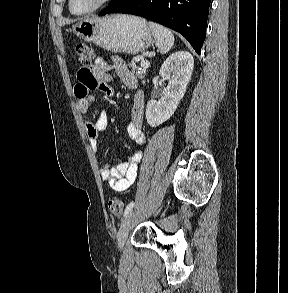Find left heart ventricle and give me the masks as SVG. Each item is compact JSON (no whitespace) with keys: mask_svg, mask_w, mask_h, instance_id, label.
I'll return each instance as SVG.
<instances>
[{"mask_svg":"<svg viewBox=\"0 0 288 293\" xmlns=\"http://www.w3.org/2000/svg\"><path fill=\"white\" fill-rule=\"evenodd\" d=\"M97 0H74L73 9L75 11H83L93 6Z\"/></svg>","mask_w":288,"mask_h":293,"instance_id":"1","label":"left heart ventricle"}]
</instances>
